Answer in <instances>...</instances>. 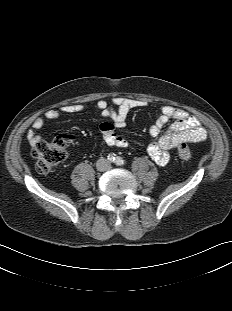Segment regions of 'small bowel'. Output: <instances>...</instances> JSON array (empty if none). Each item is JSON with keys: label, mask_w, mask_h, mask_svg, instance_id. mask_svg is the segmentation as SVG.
Wrapping results in <instances>:
<instances>
[{"label": "small bowel", "mask_w": 232, "mask_h": 311, "mask_svg": "<svg viewBox=\"0 0 232 311\" xmlns=\"http://www.w3.org/2000/svg\"><path fill=\"white\" fill-rule=\"evenodd\" d=\"M146 106V102L124 96H115L111 102L101 99L95 103L94 109L99 111L103 117L110 118L112 123L104 122L100 130L105 143L109 146L126 148L128 140L118 134L116 129H123L131 110ZM88 108L83 104H66L59 108L49 109L43 117L36 118L32 127L27 131V140L31 146L38 141L44 140L39 131L45 125V119L56 120L64 114H75L86 111ZM172 123L163 132L164 127ZM150 136L157 138L150 142L147 151L151 159L158 165H166L169 161V151L180 144L199 142L207 137L206 129L199 119L187 111L172 107L163 106L160 108L154 123L149 128Z\"/></svg>", "instance_id": "obj_1"}]
</instances>
